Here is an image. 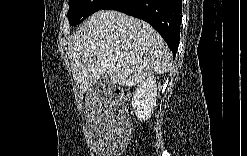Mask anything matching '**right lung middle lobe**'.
<instances>
[{"label": "right lung middle lobe", "instance_id": "dd1d6c3e", "mask_svg": "<svg viewBox=\"0 0 247 156\" xmlns=\"http://www.w3.org/2000/svg\"><path fill=\"white\" fill-rule=\"evenodd\" d=\"M108 0H69L68 20L70 25L83 22L88 16L100 10Z\"/></svg>", "mask_w": 247, "mask_h": 156}]
</instances>
